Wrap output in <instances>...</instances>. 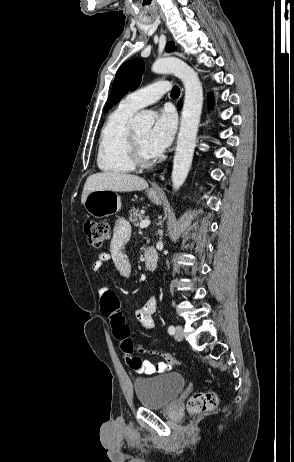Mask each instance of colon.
Instances as JSON below:
<instances>
[{"instance_id":"1","label":"colon","mask_w":294,"mask_h":462,"mask_svg":"<svg viewBox=\"0 0 294 462\" xmlns=\"http://www.w3.org/2000/svg\"><path fill=\"white\" fill-rule=\"evenodd\" d=\"M84 233L88 243L93 248H101L110 237V227L104 221L88 220L83 225ZM101 312L110 320L114 336L121 341V347L125 359L131 368H139L141 359L134 355L135 345L130 338L129 327L125 323V318L120 311V303L117 295L106 292L100 299ZM165 358L172 364L178 363V359L171 354L150 351ZM218 405V397L213 392H199L194 394L188 402V408L193 413H203L215 409Z\"/></svg>"}]
</instances>
